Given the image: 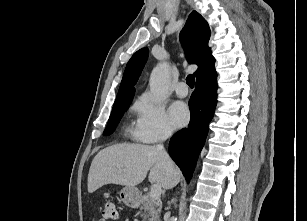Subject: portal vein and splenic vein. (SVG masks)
<instances>
[{
    "label": "portal vein and splenic vein",
    "mask_w": 307,
    "mask_h": 221,
    "mask_svg": "<svg viewBox=\"0 0 307 221\" xmlns=\"http://www.w3.org/2000/svg\"><path fill=\"white\" fill-rule=\"evenodd\" d=\"M161 193H162V189H161V186L158 185V184H153L151 186V190H150V196L151 198L155 199V200H158L161 196Z\"/></svg>",
    "instance_id": "1"
}]
</instances>
